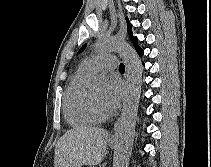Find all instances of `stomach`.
<instances>
[{"label":"stomach","instance_id":"0dacf381","mask_svg":"<svg viewBox=\"0 0 211 167\" xmlns=\"http://www.w3.org/2000/svg\"><path fill=\"white\" fill-rule=\"evenodd\" d=\"M110 145H111L112 147H115V144H114V143H112V142L110 143Z\"/></svg>","mask_w":211,"mask_h":167}]
</instances>
